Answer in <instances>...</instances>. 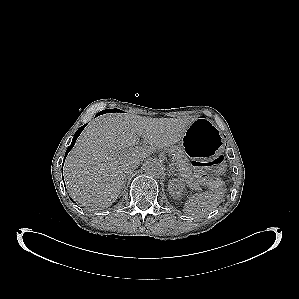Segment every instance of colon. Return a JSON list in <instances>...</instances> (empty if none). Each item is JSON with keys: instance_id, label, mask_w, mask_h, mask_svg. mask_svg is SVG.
I'll return each mask as SVG.
<instances>
[{"instance_id": "1", "label": "colon", "mask_w": 299, "mask_h": 299, "mask_svg": "<svg viewBox=\"0 0 299 299\" xmlns=\"http://www.w3.org/2000/svg\"><path fill=\"white\" fill-rule=\"evenodd\" d=\"M192 166L201 181L214 183L225 169V159L223 155H219L207 162L192 161Z\"/></svg>"}]
</instances>
